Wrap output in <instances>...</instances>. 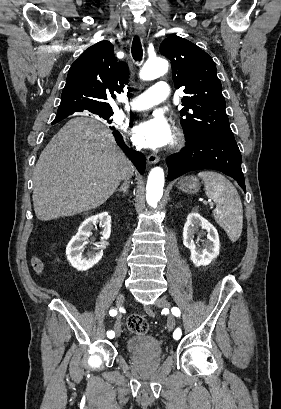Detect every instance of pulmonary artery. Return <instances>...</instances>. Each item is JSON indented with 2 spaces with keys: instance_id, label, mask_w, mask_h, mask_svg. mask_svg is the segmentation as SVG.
<instances>
[{
  "instance_id": "e3ab8cb5",
  "label": "pulmonary artery",
  "mask_w": 281,
  "mask_h": 409,
  "mask_svg": "<svg viewBox=\"0 0 281 409\" xmlns=\"http://www.w3.org/2000/svg\"><path fill=\"white\" fill-rule=\"evenodd\" d=\"M154 90H144L142 95L136 94L133 103L128 105L130 110H146L164 102V99L171 98V91L168 90V81H154Z\"/></svg>"
}]
</instances>
